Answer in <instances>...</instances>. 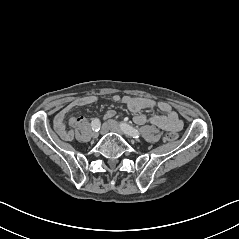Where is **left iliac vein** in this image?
<instances>
[{"label":"left iliac vein","instance_id":"obj_1","mask_svg":"<svg viewBox=\"0 0 239 239\" xmlns=\"http://www.w3.org/2000/svg\"><path fill=\"white\" fill-rule=\"evenodd\" d=\"M106 124L108 125L109 130L116 132L120 135L123 134V130L121 129V126L115 120H109Z\"/></svg>","mask_w":239,"mask_h":239}]
</instances>
